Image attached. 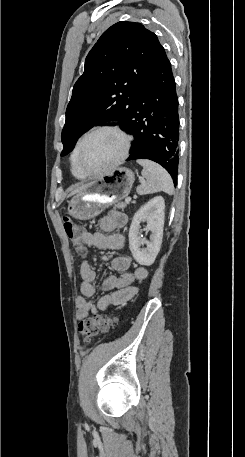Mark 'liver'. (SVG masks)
I'll return each mask as SVG.
<instances>
[{
    "instance_id": "6515ba94",
    "label": "liver",
    "mask_w": 245,
    "mask_h": 457,
    "mask_svg": "<svg viewBox=\"0 0 245 457\" xmlns=\"http://www.w3.org/2000/svg\"><path fill=\"white\" fill-rule=\"evenodd\" d=\"M88 184H90V182H87V184H82V186H77L75 190H72V192H70L69 196H71V194H75V192H81V190H83V188H86Z\"/></svg>"
}]
</instances>
